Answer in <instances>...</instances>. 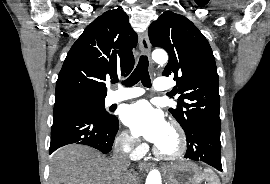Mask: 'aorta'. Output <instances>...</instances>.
<instances>
[{
	"instance_id": "1",
	"label": "aorta",
	"mask_w": 270,
	"mask_h": 184,
	"mask_svg": "<svg viewBox=\"0 0 270 184\" xmlns=\"http://www.w3.org/2000/svg\"><path fill=\"white\" fill-rule=\"evenodd\" d=\"M153 60L158 64H164L168 60L165 51H154L152 53ZM145 184H162L161 174L158 170L153 169L149 172Z\"/></svg>"
}]
</instances>
